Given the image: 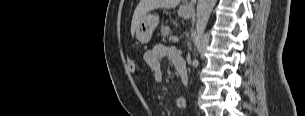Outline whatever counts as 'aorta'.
<instances>
[{
  "instance_id": "1",
  "label": "aorta",
  "mask_w": 305,
  "mask_h": 116,
  "mask_svg": "<svg viewBox=\"0 0 305 116\" xmlns=\"http://www.w3.org/2000/svg\"><path fill=\"white\" fill-rule=\"evenodd\" d=\"M216 4V0H198L197 2V20L196 31L194 35V45L199 49L200 41L205 32L212 10ZM196 62V59L193 60Z\"/></svg>"
}]
</instances>
